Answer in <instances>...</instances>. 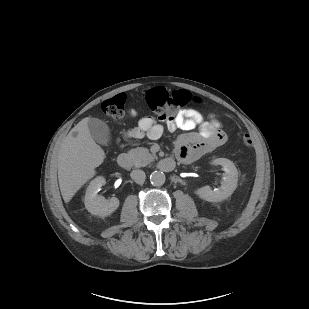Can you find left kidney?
<instances>
[{"instance_id": "5707ae66", "label": "left kidney", "mask_w": 309, "mask_h": 309, "mask_svg": "<svg viewBox=\"0 0 309 309\" xmlns=\"http://www.w3.org/2000/svg\"><path fill=\"white\" fill-rule=\"evenodd\" d=\"M215 165H221L223 173L221 187L212 190L209 186H204L195 191L201 199L208 202H220L230 197L237 188L238 171L234 163L226 158H217L212 161Z\"/></svg>"}]
</instances>
